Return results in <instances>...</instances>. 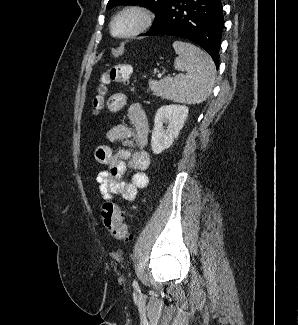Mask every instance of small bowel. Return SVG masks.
<instances>
[{
	"label": "small bowel",
	"instance_id": "1",
	"mask_svg": "<svg viewBox=\"0 0 298 325\" xmlns=\"http://www.w3.org/2000/svg\"><path fill=\"white\" fill-rule=\"evenodd\" d=\"M127 96L115 93L107 101V109L118 113L127 106ZM128 118L132 127L117 124L106 133L107 140L122 143V147L114 151L108 145H100L95 151L96 161L105 167L96 177L98 191L104 200H112L121 196L127 201H134L139 189L148 185L145 171L150 165V156L146 151L149 134L148 120L140 104H132L128 108ZM127 168L132 170L129 181L124 179Z\"/></svg>",
	"mask_w": 298,
	"mask_h": 325
}]
</instances>
